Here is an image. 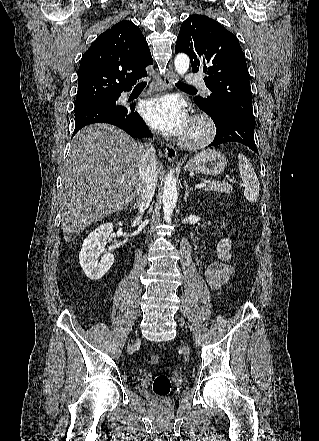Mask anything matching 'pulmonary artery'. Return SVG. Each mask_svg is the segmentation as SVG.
Instances as JSON below:
<instances>
[{"label":"pulmonary artery","instance_id":"pulmonary-artery-1","mask_svg":"<svg viewBox=\"0 0 319 441\" xmlns=\"http://www.w3.org/2000/svg\"><path fill=\"white\" fill-rule=\"evenodd\" d=\"M186 82L189 85L199 86V87L203 88L206 92L209 91L205 86V82H204L203 78L197 74H188L186 76Z\"/></svg>","mask_w":319,"mask_h":441}]
</instances>
